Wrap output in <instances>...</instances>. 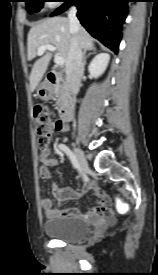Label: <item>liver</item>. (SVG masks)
I'll list each match as a JSON object with an SVG mask.
<instances>
[{
	"instance_id": "obj_1",
	"label": "liver",
	"mask_w": 158,
	"mask_h": 275,
	"mask_svg": "<svg viewBox=\"0 0 158 275\" xmlns=\"http://www.w3.org/2000/svg\"><path fill=\"white\" fill-rule=\"evenodd\" d=\"M73 35L77 36L81 49L91 50L94 48V40L91 35L83 27H80L78 31L72 30L69 19L58 16L41 21L34 25L28 33V60L30 61L36 57L37 50L40 46L50 44L56 48L58 55L63 57L66 63L70 40ZM51 57V52H46L45 55L34 63L30 74V87L32 91L36 89L46 73Z\"/></svg>"
}]
</instances>
